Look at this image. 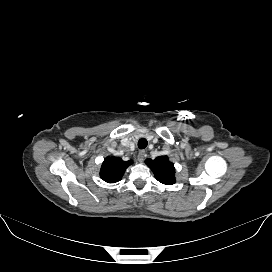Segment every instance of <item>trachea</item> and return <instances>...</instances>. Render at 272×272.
<instances>
[{
  "mask_svg": "<svg viewBox=\"0 0 272 272\" xmlns=\"http://www.w3.org/2000/svg\"><path fill=\"white\" fill-rule=\"evenodd\" d=\"M148 145V141L145 139V138H141L139 141H138V147L140 149H144L146 148Z\"/></svg>",
  "mask_w": 272,
  "mask_h": 272,
  "instance_id": "3493384b",
  "label": "trachea"
}]
</instances>
